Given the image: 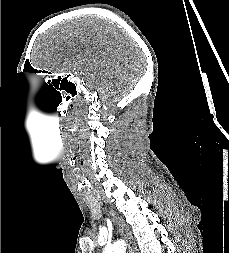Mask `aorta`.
Listing matches in <instances>:
<instances>
[{
    "instance_id": "aorta-1",
    "label": "aorta",
    "mask_w": 229,
    "mask_h": 253,
    "mask_svg": "<svg viewBox=\"0 0 229 253\" xmlns=\"http://www.w3.org/2000/svg\"><path fill=\"white\" fill-rule=\"evenodd\" d=\"M103 253H126V244L124 241H117L109 246H106Z\"/></svg>"
}]
</instances>
